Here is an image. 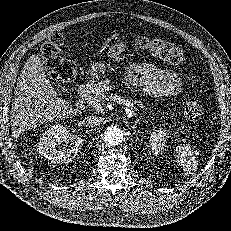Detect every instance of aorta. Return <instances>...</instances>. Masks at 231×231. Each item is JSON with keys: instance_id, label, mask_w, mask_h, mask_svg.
<instances>
[{"instance_id": "1", "label": "aorta", "mask_w": 231, "mask_h": 231, "mask_svg": "<svg viewBox=\"0 0 231 231\" xmlns=\"http://www.w3.org/2000/svg\"><path fill=\"white\" fill-rule=\"evenodd\" d=\"M103 140L107 146H116L124 140L123 131L117 126H109L103 134Z\"/></svg>"}]
</instances>
